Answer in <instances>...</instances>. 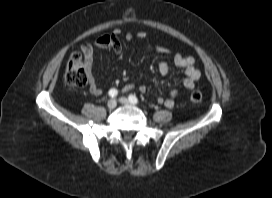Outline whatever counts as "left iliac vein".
<instances>
[{
  "mask_svg": "<svg viewBox=\"0 0 272 198\" xmlns=\"http://www.w3.org/2000/svg\"><path fill=\"white\" fill-rule=\"evenodd\" d=\"M120 103L125 105H131V102L126 97H120L119 98Z\"/></svg>",
  "mask_w": 272,
  "mask_h": 198,
  "instance_id": "obj_1",
  "label": "left iliac vein"
}]
</instances>
